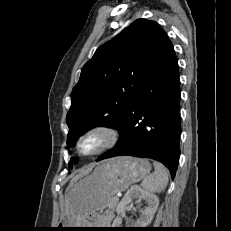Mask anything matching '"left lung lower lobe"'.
Listing matches in <instances>:
<instances>
[{
  "mask_svg": "<svg viewBox=\"0 0 231 231\" xmlns=\"http://www.w3.org/2000/svg\"><path fill=\"white\" fill-rule=\"evenodd\" d=\"M179 83L177 57L167 36L116 128L119 141L97 161L122 155L151 158L174 178L180 155Z\"/></svg>",
  "mask_w": 231,
  "mask_h": 231,
  "instance_id": "1",
  "label": "left lung lower lobe"
}]
</instances>
